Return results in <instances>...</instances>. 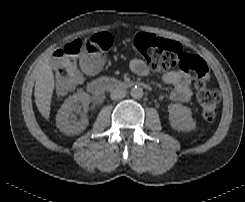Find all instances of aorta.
Returning <instances> with one entry per match:
<instances>
[{
  "label": "aorta",
  "instance_id": "1",
  "mask_svg": "<svg viewBox=\"0 0 245 202\" xmlns=\"http://www.w3.org/2000/svg\"><path fill=\"white\" fill-rule=\"evenodd\" d=\"M131 97L134 99H141L143 97V89L141 87H133L130 91Z\"/></svg>",
  "mask_w": 245,
  "mask_h": 202
}]
</instances>
